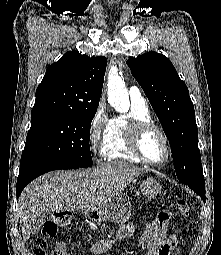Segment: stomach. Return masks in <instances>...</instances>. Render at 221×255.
<instances>
[{"label": "stomach", "mask_w": 221, "mask_h": 255, "mask_svg": "<svg viewBox=\"0 0 221 255\" xmlns=\"http://www.w3.org/2000/svg\"><path fill=\"white\" fill-rule=\"evenodd\" d=\"M140 190L143 196L153 197L160 192L157 180L147 178L141 182ZM131 200L125 194H119L110 200L105 206L91 214L95 221L108 220L116 224H124L131 216Z\"/></svg>", "instance_id": "obj_1"}]
</instances>
